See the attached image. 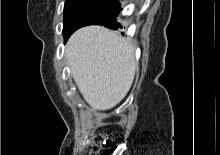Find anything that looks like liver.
I'll list each match as a JSON object with an SVG mask.
<instances>
[{"label":"liver","instance_id":"obj_1","mask_svg":"<svg viewBox=\"0 0 220 155\" xmlns=\"http://www.w3.org/2000/svg\"><path fill=\"white\" fill-rule=\"evenodd\" d=\"M134 52L130 42L102 26L80 28L69 38L65 58L92 110L111 109L127 95L137 68Z\"/></svg>","mask_w":220,"mask_h":155}]
</instances>
